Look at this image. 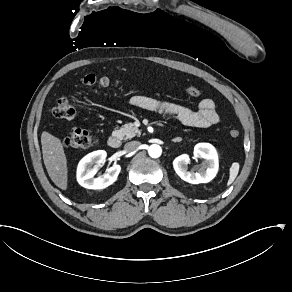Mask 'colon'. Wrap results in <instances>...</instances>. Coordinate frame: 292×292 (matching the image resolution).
I'll use <instances>...</instances> for the list:
<instances>
[{
  "label": "colon",
  "instance_id": "colon-1",
  "mask_svg": "<svg viewBox=\"0 0 292 292\" xmlns=\"http://www.w3.org/2000/svg\"><path fill=\"white\" fill-rule=\"evenodd\" d=\"M82 82L86 86L99 85L101 87H109L115 85L120 87L122 81L120 79L112 82L108 77L97 78L93 74L85 75ZM186 92L194 97H202L204 95V90L201 86L188 83L185 87ZM76 112L74 105L67 97H60L53 109V116L57 119L62 120H73L75 118ZM231 138H238L240 132L236 128H232L229 131ZM98 135L96 133L83 130L80 128H70L66 131L63 139L64 146L69 149H82L89 148L97 142Z\"/></svg>",
  "mask_w": 292,
  "mask_h": 292
}]
</instances>
